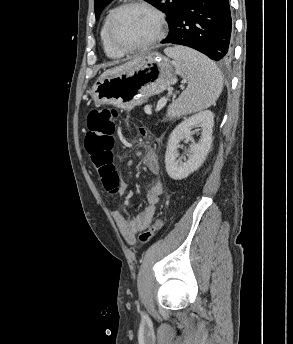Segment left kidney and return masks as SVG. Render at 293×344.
<instances>
[{
  "label": "left kidney",
  "instance_id": "left-kidney-1",
  "mask_svg": "<svg viewBox=\"0 0 293 344\" xmlns=\"http://www.w3.org/2000/svg\"><path fill=\"white\" fill-rule=\"evenodd\" d=\"M214 126V115L211 111H201L183 120L170 134L165 154V167L170 178L182 180L196 171L204 162L211 144ZM201 127V138L192 142L191 155L187 161L177 159V148L181 140L191 139V129Z\"/></svg>",
  "mask_w": 293,
  "mask_h": 344
}]
</instances>
